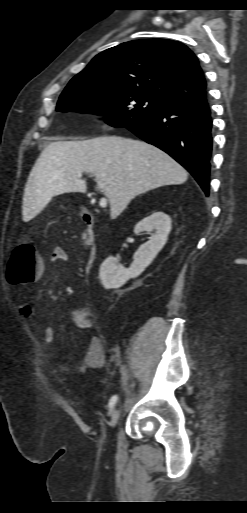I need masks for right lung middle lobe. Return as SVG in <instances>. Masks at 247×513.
Segmentation results:
<instances>
[{
    "label": "right lung middle lobe",
    "instance_id": "obj_1",
    "mask_svg": "<svg viewBox=\"0 0 247 513\" xmlns=\"http://www.w3.org/2000/svg\"><path fill=\"white\" fill-rule=\"evenodd\" d=\"M116 104L106 122L114 127H129L155 115L167 102L138 94L128 88H113L103 84L70 81L57 103L58 111H95Z\"/></svg>",
    "mask_w": 247,
    "mask_h": 513
}]
</instances>
